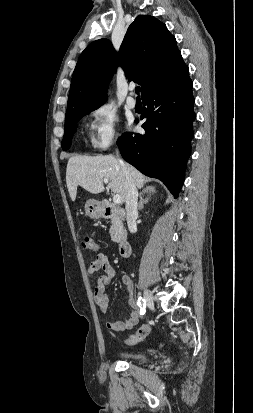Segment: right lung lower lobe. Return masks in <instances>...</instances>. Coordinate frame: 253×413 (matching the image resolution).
Here are the masks:
<instances>
[{
  "label": "right lung lower lobe",
  "instance_id": "right-lung-lower-lobe-1",
  "mask_svg": "<svg viewBox=\"0 0 253 413\" xmlns=\"http://www.w3.org/2000/svg\"><path fill=\"white\" fill-rule=\"evenodd\" d=\"M193 83L186 67L173 80L142 96L147 106L143 134L124 133L118 140L121 155L143 174L160 179L175 198L184 182L193 138ZM138 122V121H136Z\"/></svg>",
  "mask_w": 253,
  "mask_h": 413
}]
</instances>
